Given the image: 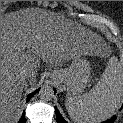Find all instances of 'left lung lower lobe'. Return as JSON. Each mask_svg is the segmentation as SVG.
Wrapping results in <instances>:
<instances>
[{
  "instance_id": "1",
  "label": "left lung lower lobe",
  "mask_w": 123,
  "mask_h": 123,
  "mask_svg": "<svg viewBox=\"0 0 123 123\" xmlns=\"http://www.w3.org/2000/svg\"><path fill=\"white\" fill-rule=\"evenodd\" d=\"M122 108H123V105H122L121 109ZM55 110H56L57 123H67L64 120V118L61 116V114L59 113V111L57 110V108ZM115 120H116V115H114L111 119H109V120H107V121H105L103 123H113Z\"/></svg>"
}]
</instances>
